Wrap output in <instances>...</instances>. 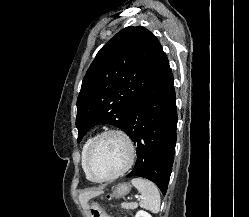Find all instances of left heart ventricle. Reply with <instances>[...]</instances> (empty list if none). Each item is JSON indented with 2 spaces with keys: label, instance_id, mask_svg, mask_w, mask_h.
<instances>
[{
  "label": "left heart ventricle",
  "instance_id": "obj_1",
  "mask_svg": "<svg viewBox=\"0 0 249 217\" xmlns=\"http://www.w3.org/2000/svg\"><path fill=\"white\" fill-rule=\"evenodd\" d=\"M128 159L125 142L116 135L101 139L90 158V169L99 178L108 177L121 170Z\"/></svg>",
  "mask_w": 249,
  "mask_h": 217
}]
</instances>
